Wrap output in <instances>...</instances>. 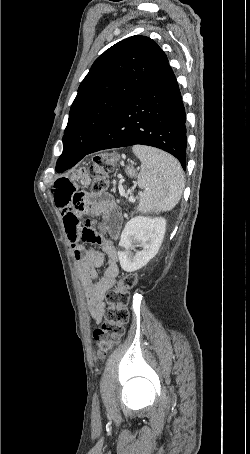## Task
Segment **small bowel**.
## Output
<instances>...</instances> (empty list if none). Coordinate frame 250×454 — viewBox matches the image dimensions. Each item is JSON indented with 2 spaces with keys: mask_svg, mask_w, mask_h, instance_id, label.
Wrapping results in <instances>:
<instances>
[{
  "mask_svg": "<svg viewBox=\"0 0 250 454\" xmlns=\"http://www.w3.org/2000/svg\"><path fill=\"white\" fill-rule=\"evenodd\" d=\"M89 176L80 171L75 177H63L52 186L55 205L62 215L65 232L77 262L79 277L86 291L90 314L96 323H100L105 313L104 298L114 286L119 273L118 253L114 246L123 221L120 208L108 193L90 195L80 191L87 187ZM101 219L103 232L93 229V220ZM107 234L110 239L105 237ZM92 243L100 249H88L83 243ZM107 261L103 274L98 276L97 269Z\"/></svg>",
  "mask_w": 250,
  "mask_h": 454,
  "instance_id": "c3829d8e",
  "label": "small bowel"
}]
</instances>
